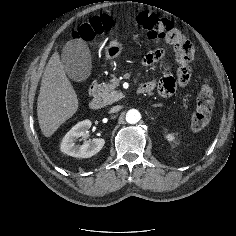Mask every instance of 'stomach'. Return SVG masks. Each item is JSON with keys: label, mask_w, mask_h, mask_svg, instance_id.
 I'll list each match as a JSON object with an SVG mask.
<instances>
[{"label": "stomach", "mask_w": 236, "mask_h": 236, "mask_svg": "<svg viewBox=\"0 0 236 236\" xmlns=\"http://www.w3.org/2000/svg\"><path fill=\"white\" fill-rule=\"evenodd\" d=\"M122 49H123L122 44L117 40H113L106 47L105 56L107 59L117 58L121 54Z\"/></svg>", "instance_id": "1"}]
</instances>
